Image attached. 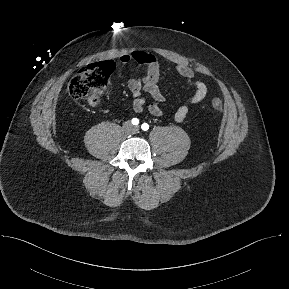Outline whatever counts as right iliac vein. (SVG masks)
Masks as SVG:
<instances>
[{
  "instance_id": "obj_1",
  "label": "right iliac vein",
  "mask_w": 289,
  "mask_h": 289,
  "mask_svg": "<svg viewBox=\"0 0 289 289\" xmlns=\"http://www.w3.org/2000/svg\"><path fill=\"white\" fill-rule=\"evenodd\" d=\"M124 128H125L126 130H130V129H131V124H130L129 122L125 123V124H124Z\"/></svg>"
}]
</instances>
